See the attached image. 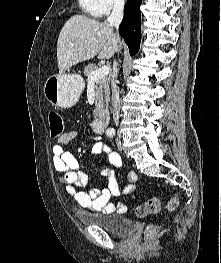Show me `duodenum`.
<instances>
[{
    "label": "duodenum",
    "instance_id": "duodenum-1",
    "mask_svg": "<svg viewBox=\"0 0 221 263\" xmlns=\"http://www.w3.org/2000/svg\"><path fill=\"white\" fill-rule=\"evenodd\" d=\"M108 120H109V118L106 115H103L101 117L96 118L92 122L93 130L99 134L103 133L106 129Z\"/></svg>",
    "mask_w": 221,
    "mask_h": 263
}]
</instances>
